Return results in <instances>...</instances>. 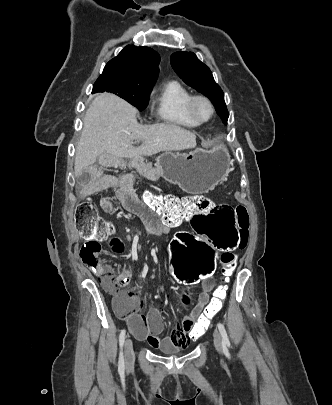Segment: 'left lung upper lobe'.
Returning <instances> with one entry per match:
<instances>
[{"label":"left lung upper lobe","instance_id":"5c2ea615","mask_svg":"<svg viewBox=\"0 0 332 405\" xmlns=\"http://www.w3.org/2000/svg\"><path fill=\"white\" fill-rule=\"evenodd\" d=\"M170 62L174 71L187 85L211 100L226 125L229 113L224 102V94L214 81L210 69L192 52H176L171 55Z\"/></svg>","mask_w":332,"mask_h":405}]
</instances>
